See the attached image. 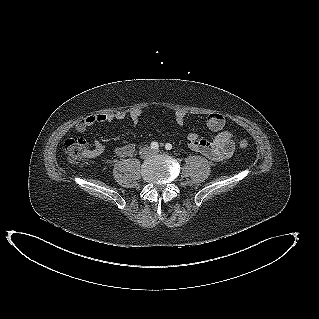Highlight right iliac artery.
I'll list each match as a JSON object with an SVG mask.
<instances>
[{"label": "right iliac artery", "mask_w": 319, "mask_h": 319, "mask_svg": "<svg viewBox=\"0 0 319 319\" xmlns=\"http://www.w3.org/2000/svg\"><path fill=\"white\" fill-rule=\"evenodd\" d=\"M150 145H151L152 149H158L159 148V144L157 142H152Z\"/></svg>", "instance_id": "obj_1"}]
</instances>
